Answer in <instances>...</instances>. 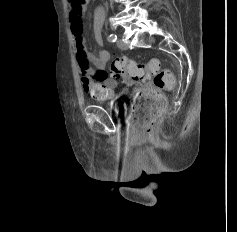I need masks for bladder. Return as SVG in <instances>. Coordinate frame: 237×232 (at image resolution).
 <instances>
[{
  "label": "bladder",
  "instance_id": "31cf9c89",
  "mask_svg": "<svg viewBox=\"0 0 237 232\" xmlns=\"http://www.w3.org/2000/svg\"><path fill=\"white\" fill-rule=\"evenodd\" d=\"M109 106L118 114L124 115L126 104L123 100H115L109 103Z\"/></svg>",
  "mask_w": 237,
  "mask_h": 232
}]
</instances>
